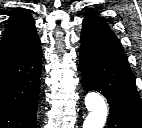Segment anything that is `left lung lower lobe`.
Returning a JSON list of instances; mask_svg holds the SVG:
<instances>
[{
  "label": "left lung lower lobe",
  "instance_id": "1",
  "mask_svg": "<svg viewBox=\"0 0 142 128\" xmlns=\"http://www.w3.org/2000/svg\"><path fill=\"white\" fill-rule=\"evenodd\" d=\"M79 56L84 90L108 100L106 128H142V100L117 37L83 22Z\"/></svg>",
  "mask_w": 142,
  "mask_h": 128
}]
</instances>
